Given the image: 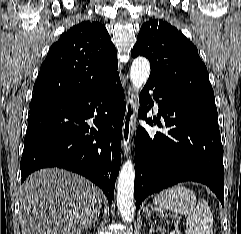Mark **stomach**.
I'll use <instances>...</instances> for the list:
<instances>
[{
    "label": "stomach",
    "mask_w": 241,
    "mask_h": 234,
    "mask_svg": "<svg viewBox=\"0 0 241 234\" xmlns=\"http://www.w3.org/2000/svg\"><path fill=\"white\" fill-rule=\"evenodd\" d=\"M148 211V210H147ZM152 211H158V208L152 207L151 210L148 211V213H151Z\"/></svg>",
    "instance_id": "obj_1"
}]
</instances>
